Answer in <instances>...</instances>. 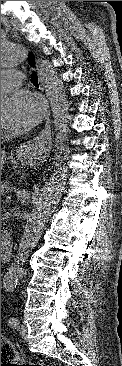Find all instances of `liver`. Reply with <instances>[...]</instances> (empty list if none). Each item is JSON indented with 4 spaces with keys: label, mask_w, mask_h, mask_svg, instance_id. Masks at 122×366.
Wrapping results in <instances>:
<instances>
[{
    "label": "liver",
    "mask_w": 122,
    "mask_h": 366,
    "mask_svg": "<svg viewBox=\"0 0 122 366\" xmlns=\"http://www.w3.org/2000/svg\"><path fill=\"white\" fill-rule=\"evenodd\" d=\"M5 160H6V152L4 150H1V170L4 167Z\"/></svg>",
    "instance_id": "6515ba94"
}]
</instances>
